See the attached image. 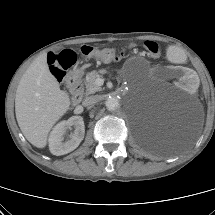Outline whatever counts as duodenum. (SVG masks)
<instances>
[{"mask_svg": "<svg viewBox=\"0 0 215 215\" xmlns=\"http://www.w3.org/2000/svg\"><path fill=\"white\" fill-rule=\"evenodd\" d=\"M67 84L71 91V103L77 105L82 98V75L78 71L71 72L67 77Z\"/></svg>", "mask_w": 215, "mask_h": 215, "instance_id": "duodenum-1", "label": "duodenum"}]
</instances>
